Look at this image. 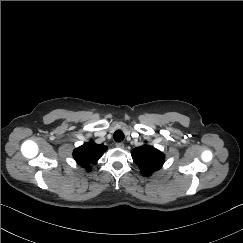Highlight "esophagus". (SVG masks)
I'll return each mask as SVG.
<instances>
[{
    "mask_svg": "<svg viewBox=\"0 0 243 243\" xmlns=\"http://www.w3.org/2000/svg\"><path fill=\"white\" fill-rule=\"evenodd\" d=\"M115 146H116L117 148H120V149H123V148L125 147L124 143H122V142H118V143H116Z\"/></svg>",
    "mask_w": 243,
    "mask_h": 243,
    "instance_id": "34e87169",
    "label": "esophagus"
}]
</instances>
